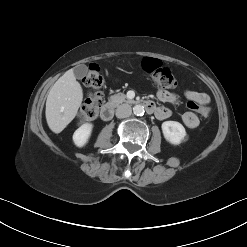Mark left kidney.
<instances>
[{
    "label": "left kidney",
    "mask_w": 247,
    "mask_h": 247,
    "mask_svg": "<svg viewBox=\"0 0 247 247\" xmlns=\"http://www.w3.org/2000/svg\"><path fill=\"white\" fill-rule=\"evenodd\" d=\"M162 132L165 139L173 145H179L185 141L186 131L183 125L176 121L162 123Z\"/></svg>",
    "instance_id": "5707ae66"
}]
</instances>
